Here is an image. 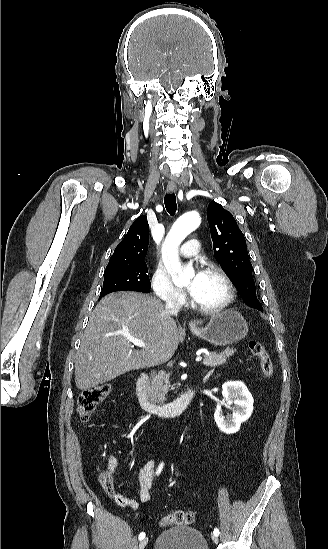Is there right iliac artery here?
<instances>
[{"instance_id": "1", "label": "right iliac artery", "mask_w": 328, "mask_h": 549, "mask_svg": "<svg viewBox=\"0 0 328 549\" xmlns=\"http://www.w3.org/2000/svg\"><path fill=\"white\" fill-rule=\"evenodd\" d=\"M163 468V463L159 466L158 470H157V474L160 473L161 469ZM145 537V533L144 532H141L139 534V540H142L143 538Z\"/></svg>"}]
</instances>
